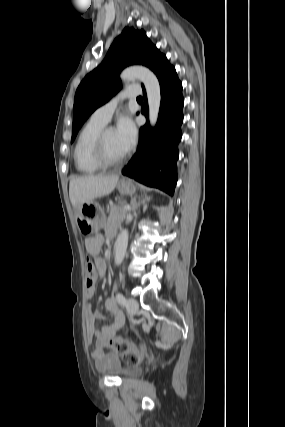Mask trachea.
I'll return each mask as SVG.
<instances>
[{
	"instance_id": "obj_1",
	"label": "trachea",
	"mask_w": 285,
	"mask_h": 427,
	"mask_svg": "<svg viewBox=\"0 0 285 427\" xmlns=\"http://www.w3.org/2000/svg\"><path fill=\"white\" fill-rule=\"evenodd\" d=\"M137 99H138V100H142L143 98H142V97H138Z\"/></svg>"
}]
</instances>
